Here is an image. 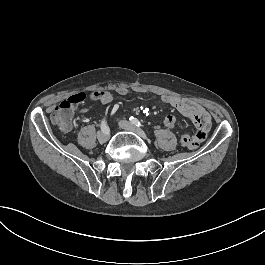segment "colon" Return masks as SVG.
I'll use <instances>...</instances> for the list:
<instances>
[{
  "mask_svg": "<svg viewBox=\"0 0 265 265\" xmlns=\"http://www.w3.org/2000/svg\"><path fill=\"white\" fill-rule=\"evenodd\" d=\"M89 98L93 101H100L104 99V95L101 92H92L89 96ZM86 100V95L79 93L78 95H72L68 97L67 102H63L62 104H59L52 115V120L60 125L63 128L69 127V121L71 119L70 115L68 114L69 108L73 107V105H76L77 102H82ZM181 142L184 146L190 148L191 141H190V134L183 135L181 137Z\"/></svg>",
  "mask_w": 265,
  "mask_h": 265,
  "instance_id": "colon-1",
  "label": "colon"
}]
</instances>
